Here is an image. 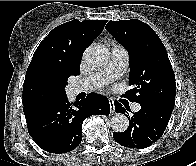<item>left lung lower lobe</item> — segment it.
Returning a JSON list of instances; mask_svg holds the SVG:
<instances>
[{"label":"left lung lower lobe","mask_w":196,"mask_h":166,"mask_svg":"<svg viewBox=\"0 0 196 166\" xmlns=\"http://www.w3.org/2000/svg\"><path fill=\"white\" fill-rule=\"evenodd\" d=\"M140 105V111L133 113L132 117H128V129L121 133H113L114 140L121 146L146 148L156 142L167 127L173 110L151 103H141ZM127 110L126 106L115 104L117 113H127Z\"/></svg>","instance_id":"0a47b994"}]
</instances>
